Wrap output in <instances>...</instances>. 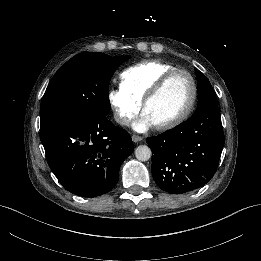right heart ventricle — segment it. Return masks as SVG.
<instances>
[{"mask_svg": "<svg viewBox=\"0 0 261 261\" xmlns=\"http://www.w3.org/2000/svg\"><path fill=\"white\" fill-rule=\"evenodd\" d=\"M175 66L161 60H146L128 67L120 74V87L139 103L153 85Z\"/></svg>", "mask_w": 261, "mask_h": 261, "instance_id": "e07e8e85", "label": "right heart ventricle"}]
</instances>
